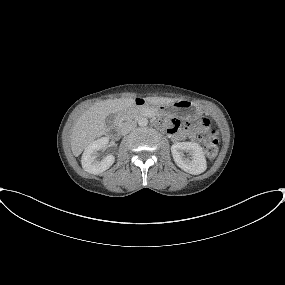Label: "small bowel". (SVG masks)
Wrapping results in <instances>:
<instances>
[{
    "label": "small bowel",
    "mask_w": 285,
    "mask_h": 285,
    "mask_svg": "<svg viewBox=\"0 0 285 285\" xmlns=\"http://www.w3.org/2000/svg\"><path fill=\"white\" fill-rule=\"evenodd\" d=\"M168 132H169L171 138H173L175 140H181V139L185 138V133L180 131L176 127L170 126L168 128Z\"/></svg>",
    "instance_id": "obj_1"
}]
</instances>
